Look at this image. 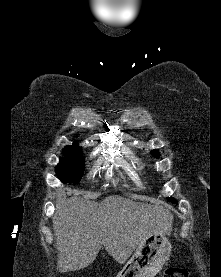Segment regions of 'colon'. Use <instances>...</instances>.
Returning a JSON list of instances; mask_svg holds the SVG:
<instances>
[{"mask_svg": "<svg viewBox=\"0 0 221 277\" xmlns=\"http://www.w3.org/2000/svg\"><path fill=\"white\" fill-rule=\"evenodd\" d=\"M162 277H188V272L184 268L170 267L164 272Z\"/></svg>", "mask_w": 221, "mask_h": 277, "instance_id": "5ec220e1", "label": "colon"}]
</instances>
